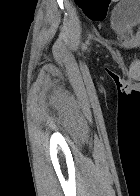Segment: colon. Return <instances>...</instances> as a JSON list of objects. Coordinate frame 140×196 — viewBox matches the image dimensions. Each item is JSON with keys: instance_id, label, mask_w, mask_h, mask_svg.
I'll list each match as a JSON object with an SVG mask.
<instances>
[{"instance_id": "5ec220e1", "label": "colon", "mask_w": 140, "mask_h": 196, "mask_svg": "<svg viewBox=\"0 0 140 196\" xmlns=\"http://www.w3.org/2000/svg\"><path fill=\"white\" fill-rule=\"evenodd\" d=\"M75 2L79 5V6H83V4L85 3L84 0H75ZM106 2H110V0H106Z\"/></svg>"}]
</instances>
